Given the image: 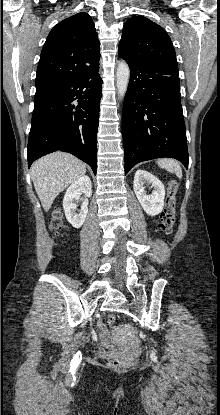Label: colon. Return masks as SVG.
Here are the masks:
<instances>
[{"mask_svg":"<svg viewBox=\"0 0 220 415\" xmlns=\"http://www.w3.org/2000/svg\"><path fill=\"white\" fill-rule=\"evenodd\" d=\"M167 198L164 210L162 212L161 221L159 224L160 230L163 234L169 235L172 232L174 218H175V203L176 193L178 190V184L176 180L169 178L166 180ZM51 229L56 236H60L66 230V226L63 222L62 214L59 210L54 211L51 220ZM117 318L115 314H110L107 317V324L109 328H114ZM133 364V360L129 358H115L111 361L110 365L114 369L122 370L127 369Z\"/></svg>","mask_w":220,"mask_h":415,"instance_id":"5ec220e1","label":"colon"}]
</instances>
